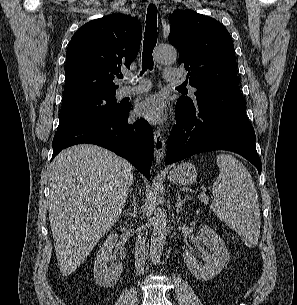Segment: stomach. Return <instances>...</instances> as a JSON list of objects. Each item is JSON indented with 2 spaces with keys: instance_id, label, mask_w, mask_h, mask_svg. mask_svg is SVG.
Returning a JSON list of instances; mask_svg holds the SVG:
<instances>
[{
  "instance_id": "0dacf381",
  "label": "stomach",
  "mask_w": 297,
  "mask_h": 305,
  "mask_svg": "<svg viewBox=\"0 0 297 305\" xmlns=\"http://www.w3.org/2000/svg\"><path fill=\"white\" fill-rule=\"evenodd\" d=\"M168 178L172 183L180 186L191 185L196 182L197 170L191 163L184 162L174 166Z\"/></svg>"
}]
</instances>
